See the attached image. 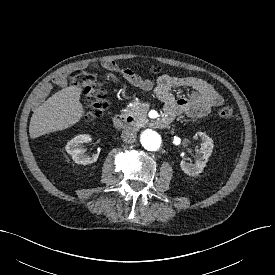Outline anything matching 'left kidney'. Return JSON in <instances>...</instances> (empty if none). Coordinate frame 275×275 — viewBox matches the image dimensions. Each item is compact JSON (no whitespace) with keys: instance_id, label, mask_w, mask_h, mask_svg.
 Returning <instances> with one entry per match:
<instances>
[{"instance_id":"5707ae66","label":"left kidney","mask_w":275,"mask_h":275,"mask_svg":"<svg viewBox=\"0 0 275 275\" xmlns=\"http://www.w3.org/2000/svg\"><path fill=\"white\" fill-rule=\"evenodd\" d=\"M196 135L201 138L202 145L195 155V162L192 163L182 160L180 163L182 171L193 177H196L203 172L214 147L213 140L208 135L203 132H197Z\"/></svg>"}]
</instances>
